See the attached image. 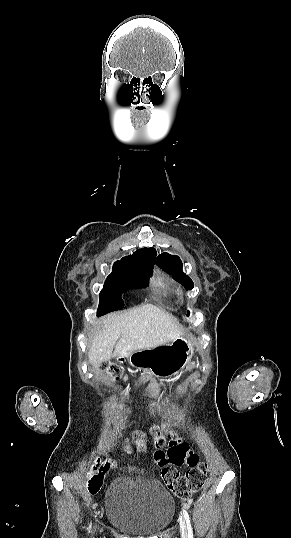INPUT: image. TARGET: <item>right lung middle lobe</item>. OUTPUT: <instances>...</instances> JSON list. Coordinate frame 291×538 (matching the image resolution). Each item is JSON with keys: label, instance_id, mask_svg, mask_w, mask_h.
I'll return each instance as SVG.
<instances>
[{"label": "right lung middle lobe", "instance_id": "1", "mask_svg": "<svg viewBox=\"0 0 291 538\" xmlns=\"http://www.w3.org/2000/svg\"><path fill=\"white\" fill-rule=\"evenodd\" d=\"M152 261H132L121 259L113 265L112 273L104 283L99 294V307L97 315L121 309L124 306L121 295L134 288H144L152 275Z\"/></svg>", "mask_w": 291, "mask_h": 538}]
</instances>
